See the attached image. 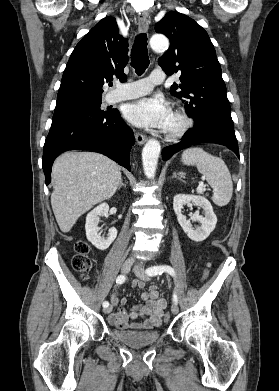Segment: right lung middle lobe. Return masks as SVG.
Returning a JSON list of instances; mask_svg holds the SVG:
<instances>
[{
	"mask_svg": "<svg viewBox=\"0 0 279 391\" xmlns=\"http://www.w3.org/2000/svg\"><path fill=\"white\" fill-rule=\"evenodd\" d=\"M101 100L83 102L68 106L54 111L53 119L61 117H78V116H91V117H102L111 112V110L103 111L100 109Z\"/></svg>",
	"mask_w": 279,
	"mask_h": 391,
	"instance_id": "obj_1",
	"label": "right lung middle lobe"
}]
</instances>
